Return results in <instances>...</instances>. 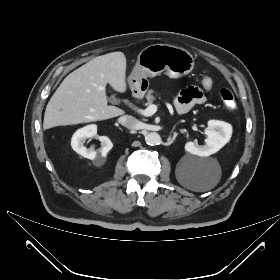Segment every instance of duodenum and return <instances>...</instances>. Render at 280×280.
<instances>
[{"instance_id":"1","label":"duodenum","mask_w":280,"mask_h":280,"mask_svg":"<svg viewBox=\"0 0 280 280\" xmlns=\"http://www.w3.org/2000/svg\"><path fill=\"white\" fill-rule=\"evenodd\" d=\"M142 96V90L140 88H137L133 91V98L134 99H140Z\"/></svg>"}]
</instances>
